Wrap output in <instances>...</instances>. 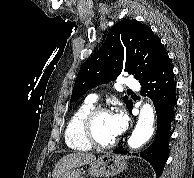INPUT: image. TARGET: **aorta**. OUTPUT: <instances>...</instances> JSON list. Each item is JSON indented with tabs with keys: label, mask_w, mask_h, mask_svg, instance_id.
<instances>
[{
	"label": "aorta",
	"mask_w": 194,
	"mask_h": 178,
	"mask_svg": "<svg viewBox=\"0 0 194 178\" xmlns=\"http://www.w3.org/2000/svg\"><path fill=\"white\" fill-rule=\"evenodd\" d=\"M154 111L150 104L145 103L139 114L137 125L128 139V145L132 149L140 148L147 142L154 132Z\"/></svg>",
	"instance_id": "1"
}]
</instances>
